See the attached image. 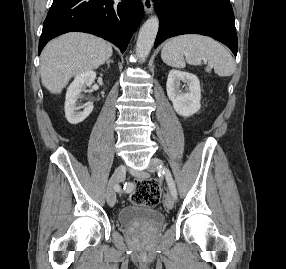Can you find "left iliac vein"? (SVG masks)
<instances>
[{"label":"left iliac vein","instance_id":"obj_1","mask_svg":"<svg viewBox=\"0 0 286 269\" xmlns=\"http://www.w3.org/2000/svg\"><path fill=\"white\" fill-rule=\"evenodd\" d=\"M163 167V162L158 158H152L150 161V166L148 168L149 172L161 171ZM133 175H137V172L133 171ZM174 197L171 193H168L165 197V206L167 209H172L174 207Z\"/></svg>","mask_w":286,"mask_h":269}]
</instances>
